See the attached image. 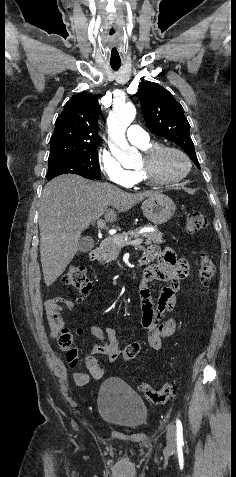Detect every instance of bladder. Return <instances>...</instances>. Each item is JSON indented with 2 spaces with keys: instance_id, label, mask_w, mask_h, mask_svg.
Returning <instances> with one entry per match:
<instances>
[{
  "instance_id": "obj_1",
  "label": "bladder",
  "mask_w": 236,
  "mask_h": 477,
  "mask_svg": "<svg viewBox=\"0 0 236 477\" xmlns=\"http://www.w3.org/2000/svg\"><path fill=\"white\" fill-rule=\"evenodd\" d=\"M102 419L116 427L139 430L149 418V412L140 397L120 378L104 380L97 393Z\"/></svg>"
}]
</instances>
